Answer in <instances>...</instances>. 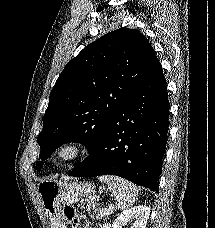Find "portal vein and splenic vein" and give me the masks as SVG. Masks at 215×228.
I'll use <instances>...</instances> for the list:
<instances>
[{
    "label": "portal vein and splenic vein",
    "mask_w": 215,
    "mask_h": 228,
    "mask_svg": "<svg viewBox=\"0 0 215 228\" xmlns=\"http://www.w3.org/2000/svg\"><path fill=\"white\" fill-rule=\"evenodd\" d=\"M109 208H110V210H112L113 204H109Z\"/></svg>",
    "instance_id": "portal-vein-and-splenic-vein-1"
}]
</instances>
